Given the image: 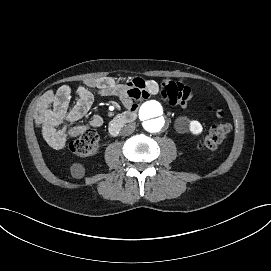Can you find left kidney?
Instances as JSON below:
<instances>
[{
	"label": "left kidney",
	"instance_id": "1",
	"mask_svg": "<svg viewBox=\"0 0 271 271\" xmlns=\"http://www.w3.org/2000/svg\"><path fill=\"white\" fill-rule=\"evenodd\" d=\"M189 126H190V129H191L193 132H195V133H198V132L201 131V125H200L198 122H196V121L191 122V123L189 124Z\"/></svg>",
	"mask_w": 271,
	"mask_h": 271
}]
</instances>
